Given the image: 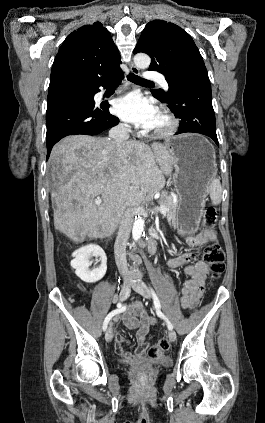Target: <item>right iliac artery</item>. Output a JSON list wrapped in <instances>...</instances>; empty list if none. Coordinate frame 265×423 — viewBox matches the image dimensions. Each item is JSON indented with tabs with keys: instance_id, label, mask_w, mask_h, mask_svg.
Instances as JSON below:
<instances>
[{
	"instance_id": "82829eb1",
	"label": "right iliac artery",
	"mask_w": 265,
	"mask_h": 423,
	"mask_svg": "<svg viewBox=\"0 0 265 423\" xmlns=\"http://www.w3.org/2000/svg\"><path fill=\"white\" fill-rule=\"evenodd\" d=\"M125 309H126V306H125L124 304H122V303H118V304H117V309H115V310L111 311V312L107 315V317L105 318V320H104V322H103V330H104V331H106L107 326H108V323H109V321L111 320V318H112L114 315H116V314H118V313L123 312Z\"/></svg>"
}]
</instances>
